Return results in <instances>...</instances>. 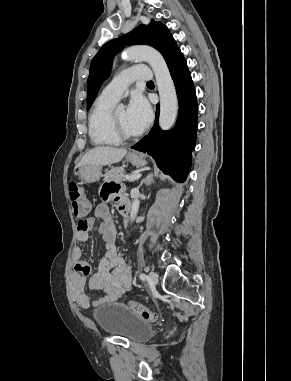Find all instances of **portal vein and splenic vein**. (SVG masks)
<instances>
[{
	"mask_svg": "<svg viewBox=\"0 0 291 381\" xmlns=\"http://www.w3.org/2000/svg\"><path fill=\"white\" fill-rule=\"evenodd\" d=\"M142 175L140 173H133L131 175H125L124 177L127 179V180H135V179H139Z\"/></svg>",
	"mask_w": 291,
	"mask_h": 381,
	"instance_id": "obj_1",
	"label": "portal vein and splenic vein"
}]
</instances>
